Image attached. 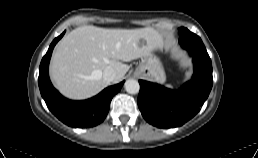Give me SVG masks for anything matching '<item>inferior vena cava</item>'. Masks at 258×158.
I'll list each match as a JSON object with an SVG mask.
<instances>
[{
  "label": "inferior vena cava",
  "instance_id": "1",
  "mask_svg": "<svg viewBox=\"0 0 258 158\" xmlns=\"http://www.w3.org/2000/svg\"><path fill=\"white\" fill-rule=\"evenodd\" d=\"M116 78V72L113 68L107 67L103 70V79L107 82H113Z\"/></svg>",
  "mask_w": 258,
  "mask_h": 158
}]
</instances>
